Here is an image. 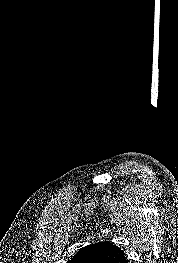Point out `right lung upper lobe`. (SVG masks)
<instances>
[{"label": "right lung upper lobe", "instance_id": "obj_1", "mask_svg": "<svg viewBox=\"0 0 178 263\" xmlns=\"http://www.w3.org/2000/svg\"><path fill=\"white\" fill-rule=\"evenodd\" d=\"M67 263H129L124 251L111 242L85 246Z\"/></svg>", "mask_w": 178, "mask_h": 263}]
</instances>
